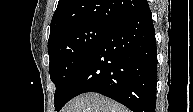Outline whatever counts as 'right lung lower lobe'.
I'll return each mask as SVG.
<instances>
[{
	"label": "right lung lower lobe",
	"instance_id": "obj_1",
	"mask_svg": "<svg viewBox=\"0 0 193 112\" xmlns=\"http://www.w3.org/2000/svg\"><path fill=\"white\" fill-rule=\"evenodd\" d=\"M157 49L149 5L115 25L79 69L64 105L85 92H97L133 112H155Z\"/></svg>",
	"mask_w": 193,
	"mask_h": 112
}]
</instances>
